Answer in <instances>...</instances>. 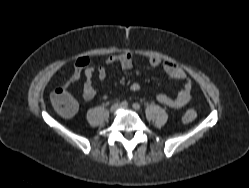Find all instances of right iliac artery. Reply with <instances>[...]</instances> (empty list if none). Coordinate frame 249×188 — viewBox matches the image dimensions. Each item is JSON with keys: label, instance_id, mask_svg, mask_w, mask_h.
Segmentation results:
<instances>
[{"label": "right iliac artery", "instance_id": "82829eb1", "mask_svg": "<svg viewBox=\"0 0 249 188\" xmlns=\"http://www.w3.org/2000/svg\"><path fill=\"white\" fill-rule=\"evenodd\" d=\"M121 106L127 107V106H128V102H127V101H122V102H121Z\"/></svg>", "mask_w": 249, "mask_h": 188}]
</instances>
